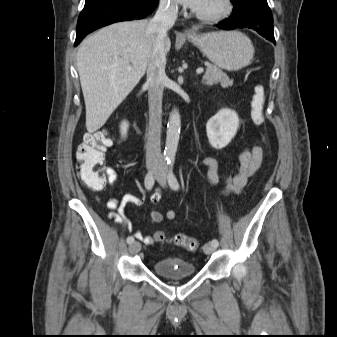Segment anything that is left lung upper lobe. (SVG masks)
<instances>
[{
	"label": "left lung upper lobe",
	"instance_id": "left-lung-upper-lobe-1",
	"mask_svg": "<svg viewBox=\"0 0 337 337\" xmlns=\"http://www.w3.org/2000/svg\"><path fill=\"white\" fill-rule=\"evenodd\" d=\"M231 2L234 5L233 14L251 7H261L268 13H271L267 0H231Z\"/></svg>",
	"mask_w": 337,
	"mask_h": 337
}]
</instances>
